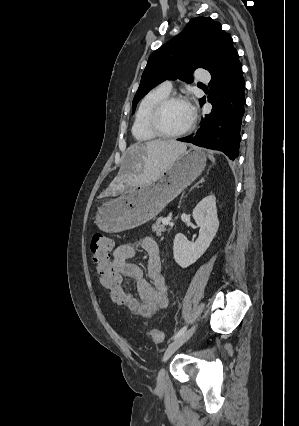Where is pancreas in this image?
<instances>
[{
	"mask_svg": "<svg viewBox=\"0 0 299 426\" xmlns=\"http://www.w3.org/2000/svg\"><path fill=\"white\" fill-rule=\"evenodd\" d=\"M163 218H158L155 222V224H153L152 226V231L156 232L157 236H161L163 232L166 231L165 225L161 224Z\"/></svg>",
	"mask_w": 299,
	"mask_h": 426,
	"instance_id": "cf45deb5",
	"label": "pancreas"
}]
</instances>
